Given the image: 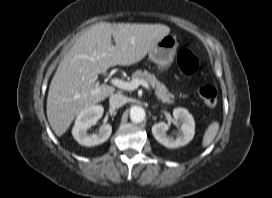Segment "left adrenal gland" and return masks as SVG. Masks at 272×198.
Masks as SVG:
<instances>
[{
    "label": "left adrenal gland",
    "mask_w": 272,
    "mask_h": 198,
    "mask_svg": "<svg viewBox=\"0 0 272 198\" xmlns=\"http://www.w3.org/2000/svg\"><path fill=\"white\" fill-rule=\"evenodd\" d=\"M158 106H154L153 108L155 109V108H157Z\"/></svg>",
    "instance_id": "left-adrenal-gland-1"
}]
</instances>
